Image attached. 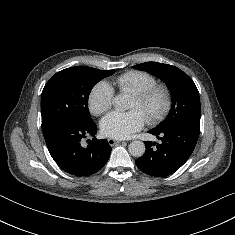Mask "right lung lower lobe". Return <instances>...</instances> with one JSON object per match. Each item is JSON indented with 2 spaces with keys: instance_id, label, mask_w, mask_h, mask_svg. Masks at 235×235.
I'll list each match as a JSON object with an SVG mask.
<instances>
[{
  "instance_id": "obj_1",
  "label": "right lung lower lobe",
  "mask_w": 235,
  "mask_h": 235,
  "mask_svg": "<svg viewBox=\"0 0 235 235\" xmlns=\"http://www.w3.org/2000/svg\"><path fill=\"white\" fill-rule=\"evenodd\" d=\"M96 131L94 122L85 126L63 124L44 138L50 155L61 169L75 176H89L106 164L112 150L106 139H93L86 148L81 146V139L88 135L94 137Z\"/></svg>"
}]
</instances>
